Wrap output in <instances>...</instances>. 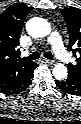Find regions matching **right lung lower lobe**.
Segmentation results:
<instances>
[{
	"label": "right lung lower lobe",
	"instance_id": "obj_1",
	"mask_svg": "<svg viewBox=\"0 0 81 124\" xmlns=\"http://www.w3.org/2000/svg\"><path fill=\"white\" fill-rule=\"evenodd\" d=\"M37 66L38 64L34 63L32 67L16 82L4 88H0V92L7 95H14L24 91L31 84L33 72Z\"/></svg>",
	"mask_w": 81,
	"mask_h": 124
}]
</instances>
